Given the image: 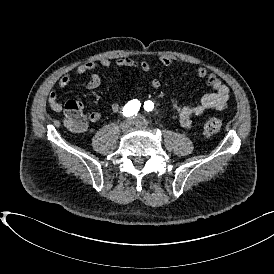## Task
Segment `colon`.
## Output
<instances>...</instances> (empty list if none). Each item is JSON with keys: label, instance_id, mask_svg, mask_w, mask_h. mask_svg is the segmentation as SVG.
Listing matches in <instances>:
<instances>
[{"label": "colon", "instance_id": "colon-1", "mask_svg": "<svg viewBox=\"0 0 274 274\" xmlns=\"http://www.w3.org/2000/svg\"><path fill=\"white\" fill-rule=\"evenodd\" d=\"M53 92V91H52ZM65 123L76 131L85 129L87 117L82 114V105L77 100H69L64 104ZM222 123L219 118L211 117L205 120L203 131L206 135L216 134L221 130Z\"/></svg>", "mask_w": 274, "mask_h": 274}]
</instances>
